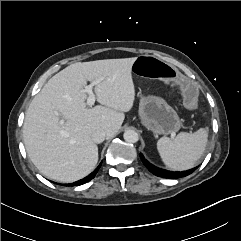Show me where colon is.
<instances>
[{
	"label": "colon",
	"mask_w": 241,
	"mask_h": 241,
	"mask_svg": "<svg viewBox=\"0 0 241 241\" xmlns=\"http://www.w3.org/2000/svg\"><path fill=\"white\" fill-rule=\"evenodd\" d=\"M131 71L143 78H151L159 82L164 87L176 88L184 94V104L186 108L194 110L197 107L198 98L195 92L194 83L190 78L180 73L176 67L151 56L141 55L136 57L130 65Z\"/></svg>",
	"instance_id": "5ec220e1"
}]
</instances>
